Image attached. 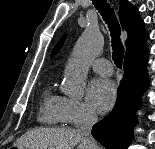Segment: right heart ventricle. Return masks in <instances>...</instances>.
<instances>
[{
  "instance_id": "1",
  "label": "right heart ventricle",
  "mask_w": 155,
  "mask_h": 149,
  "mask_svg": "<svg viewBox=\"0 0 155 149\" xmlns=\"http://www.w3.org/2000/svg\"><path fill=\"white\" fill-rule=\"evenodd\" d=\"M39 121L50 125L63 122L62 97L54 94L50 88L44 92L39 110Z\"/></svg>"
}]
</instances>
